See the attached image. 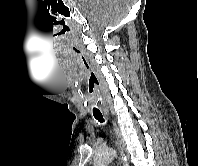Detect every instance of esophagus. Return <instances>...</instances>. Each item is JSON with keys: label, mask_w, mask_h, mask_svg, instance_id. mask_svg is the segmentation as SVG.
<instances>
[{"label": "esophagus", "mask_w": 198, "mask_h": 166, "mask_svg": "<svg viewBox=\"0 0 198 166\" xmlns=\"http://www.w3.org/2000/svg\"><path fill=\"white\" fill-rule=\"evenodd\" d=\"M114 129H115V134H116V138H117V144L119 147L120 159L123 163V166H129V156L126 151V145H125L124 139H123V137L115 123H114Z\"/></svg>", "instance_id": "1"}]
</instances>
